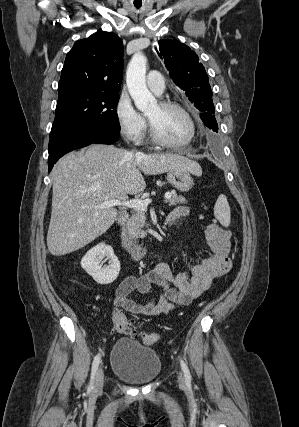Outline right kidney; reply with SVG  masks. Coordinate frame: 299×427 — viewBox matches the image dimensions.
<instances>
[{"instance_id": "1", "label": "right kidney", "mask_w": 299, "mask_h": 427, "mask_svg": "<svg viewBox=\"0 0 299 427\" xmlns=\"http://www.w3.org/2000/svg\"><path fill=\"white\" fill-rule=\"evenodd\" d=\"M105 257L109 260V265L102 267L101 261ZM81 267L101 285L112 283L120 272V262L114 255L113 248L105 243L90 249L82 258Z\"/></svg>"}]
</instances>
